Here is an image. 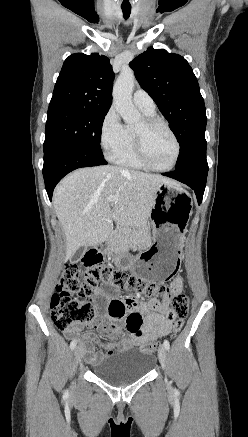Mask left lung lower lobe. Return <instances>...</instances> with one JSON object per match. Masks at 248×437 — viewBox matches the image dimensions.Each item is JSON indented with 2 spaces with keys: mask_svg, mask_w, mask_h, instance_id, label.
<instances>
[{
  "mask_svg": "<svg viewBox=\"0 0 248 437\" xmlns=\"http://www.w3.org/2000/svg\"><path fill=\"white\" fill-rule=\"evenodd\" d=\"M208 174V164L206 160V149L197 152L186 164L176 168L172 172L163 175L174 178L191 187L197 196L200 204L203 198Z\"/></svg>",
  "mask_w": 248,
  "mask_h": 437,
  "instance_id": "obj_1",
  "label": "left lung lower lobe"
}]
</instances>
